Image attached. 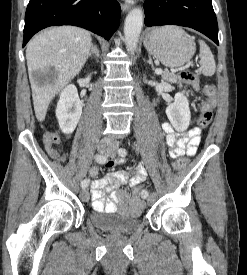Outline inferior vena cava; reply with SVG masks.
Wrapping results in <instances>:
<instances>
[{"label":"inferior vena cava","mask_w":247,"mask_h":275,"mask_svg":"<svg viewBox=\"0 0 247 275\" xmlns=\"http://www.w3.org/2000/svg\"><path fill=\"white\" fill-rule=\"evenodd\" d=\"M106 141L110 142V141H111V139H110V138H108V139H106Z\"/></svg>","instance_id":"602c4592"}]
</instances>
